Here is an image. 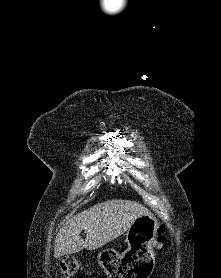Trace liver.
Listing matches in <instances>:
<instances>
[{
	"label": "liver",
	"instance_id": "6515ba94",
	"mask_svg": "<svg viewBox=\"0 0 221 278\" xmlns=\"http://www.w3.org/2000/svg\"><path fill=\"white\" fill-rule=\"evenodd\" d=\"M150 210L135 201L113 199L98 203L71 217L55 239L54 255L60 257L82 249L96 250L124 234L134 220ZM85 230L86 239L80 237Z\"/></svg>",
	"mask_w": 221,
	"mask_h": 278
}]
</instances>
